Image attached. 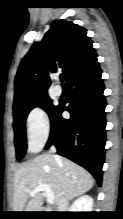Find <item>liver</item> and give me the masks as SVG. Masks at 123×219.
<instances>
[{
	"label": "liver",
	"mask_w": 123,
	"mask_h": 219,
	"mask_svg": "<svg viewBox=\"0 0 123 219\" xmlns=\"http://www.w3.org/2000/svg\"><path fill=\"white\" fill-rule=\"evenodd\" d=\"M39 184L50 186L54 201L59 205L63 196L69 200L83 195L94 184L92 175L67 158L41 154L17 169L14 176V212H40L44 193L34 196L30 192Z\"/></svg>",
	"instance_id": "1"
}]
</instances>
